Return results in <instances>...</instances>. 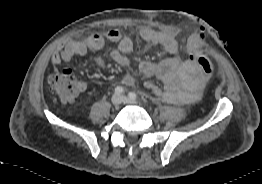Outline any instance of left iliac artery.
<instances>
[{"label": "left iliac artery", "instance_id": "left-iliac-artery-1", "mask_svg": "<svg viewBox=\"0 0 262 184\" xmlns=\"http://www.w3.org/2000/svg\"><path fill=\"white\" fill-rule=\"evenodd\" d=\"M128 96H129V98H131V99H136V98H137V95H136L134 92H130V93L128 94Z\"/></svg>", "mask_w": 262, "mask_h": 184}]
</instances>
